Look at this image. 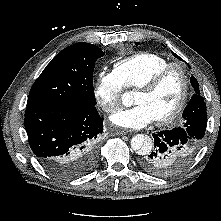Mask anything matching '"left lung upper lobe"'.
Instances as JSON below:
<instances>
[{
  "instance_id": "left-lung-upper-lobe-1",
  "label": "left lung upper lobe",
  "mask_w": 221,
  "mask_h": 221,
  "mask_svg": "<svg viewBox=\"0 0 221 221\" xmlns=\"http://www.w3.org/2000/svg\"><path fill=\"white\" fill-rule=\"evenodd\" d=\"M190 82L195 93L183 111V120L180 127L184 128L189 136L199 144L204 137L207 125L206 104L200 94L199 84L194 76L190 77Z\"/></svg>"
}]
</instances>
